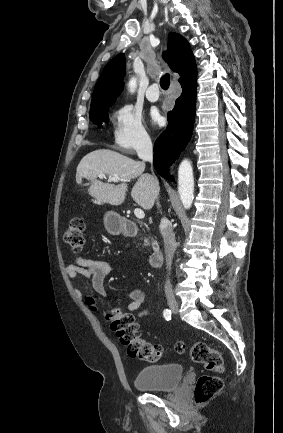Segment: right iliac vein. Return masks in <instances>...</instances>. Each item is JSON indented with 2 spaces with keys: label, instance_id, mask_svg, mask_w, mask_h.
Masks as SVG:
<instances>
[{
  "label": "right iliac vein",
  "instance_id": "obj_1",
  "mask_svg": "<svg viewBox=\"0 0 283 433\" xmlns=\"http://www.w3.org/2000/svg\"><path fill=\"white\" fill-rule=\"evenodd\" d=\"M167 303H168V305H169V307H170V309H171L172 312L178 313V311H179V305H178L177 301L173 297H169L167 299Z\"/></svg>",
  "mask_w": 283,
  "mask_h": 433
}]
</instances>
